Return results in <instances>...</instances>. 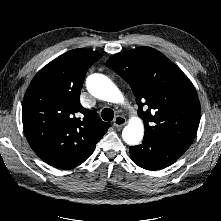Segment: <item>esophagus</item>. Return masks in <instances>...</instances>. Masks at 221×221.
<instances>
[{
    "label": "esophagus",
    "instance_id": "1",
    "mask_svg": "<svg viewBox=\"0 0 221 221\" xmlns=\"http://www.w3.org/2000/svg\"><path fill=\"white\" fill-rule=\"evenodd\" d=\"M126 124V119L123 116H116L114 121H113V125L116 128H121Z\"/></svg>",
    "mask_w": 221,
    "mask_h": 221
}]
</instances>
